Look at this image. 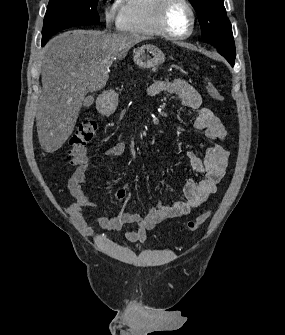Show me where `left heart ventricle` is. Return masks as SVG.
I'll return each mask as SVG.
<instances>
[{
	"instance_id": "obj_1",
	"label": "left heart ventricle",
	"mask_w": 285,
	"mask_h": 335,
	"mask_svg": "<svg viewBox=\"0 0 285 335\" xmlns=\"http://www.w3.org/2000/svg\"><path fill=\"white\" fill-rule=\"evenodd\" d=\"M187 18L188 11L183 5L176 3L172 6L169 13V23L173 29H177L185 25L188 20Z\"/></svg>"
}]
</instances>
